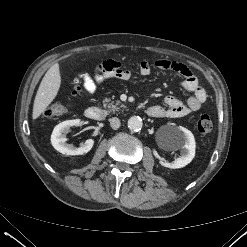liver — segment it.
<instances>
[{"label":"liver","instance_id":"6515ba94","mask_svg":"<svg viewBox=\"0 0 247 247\" xmlns=\"http://www.w3.org/2000/svg\"><path fill=\"white\" fill-rule=\"evenodd\" d=\"M61 85L58 63L52 65L44 75L33 104L32 118L37 119L57 96Z\"/></svg>","mask_w":247,"mask_h":247}]
</instances>
